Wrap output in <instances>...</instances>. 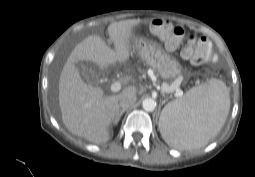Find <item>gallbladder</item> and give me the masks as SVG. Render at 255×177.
<instances>
[{
	"label": "gallbladder",
	"mask_w": 255,
	"mask_h": 177,
	"mask_svg": "<svg viewBox=\"0 0 255 177\" xmlns=\"http://www.w3.org/2000/svg\"><path fill=\"white\" fill-rule=\"evenodd\" d=\"M80 70H81L82 76L85 78V80L88 83L92 85H97L99 83V78L91 67L81 64Z\"/></svg>",
	"instance_id": "obj_1"
}]
</instances>
